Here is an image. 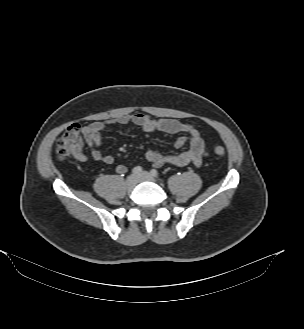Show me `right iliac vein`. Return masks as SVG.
Listing matches in <instances>:
<instances>
[{
  "mask_svg": "<svg viewBox=\"0 0 304 329\" xmlns=\"http://www.w3.org/2000/svg\"><path fill=\"white\" fill-rule=\"evenodd\" d=\"M137 177L135 175H130L125 182V187L127 190H132L137 184Z\"/></svg>",
  "mask_w": 304,
  "mask_h": 329,
  "instance_id": "63e3f726",
  "label": "right iliac vein"
}]
</instances>
